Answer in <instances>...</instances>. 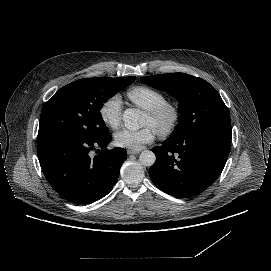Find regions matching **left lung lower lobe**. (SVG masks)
<instances>
[{"instance_id": "obj_1", "label": "left lung lower lobe", "mask_w": 271, "mask_h": 271, "mask_svg": "<svg viewBox=\"0 0 271 271\" xmlns=\"http://www.w3.org/2000/svg\"><path fill=\"white\" fill-rule=\"evenodd\" d=\"M231 129L206 128L168 138L152 151L156 162L149 170L161 191L189 198L207 189L221 174L231 148Z\"/></svg>"}]
</instances>
